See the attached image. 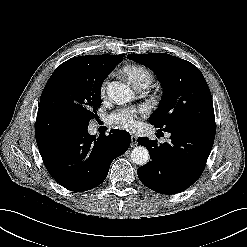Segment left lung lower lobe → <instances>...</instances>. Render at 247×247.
<instances>
[{
	"mask_svg": "<svg viewBox=\"0 0 247 247\" xmlns=\"http://www.w3.org/2000/svg\"><path fill=\"white\" fill-rule=\"evenodd\" d=\"M171 141L138 138L150 153V161L138 170L140 181L161 194H175L190 187L201 176L211 152L215 131L184 128L168 131Z\"/></svg>",
	"mask_w": 247,
	"mask_h": 247,
	"instance_id": "0a47b994",
	"label": "left lung lower lobe"
}]
</instances>
